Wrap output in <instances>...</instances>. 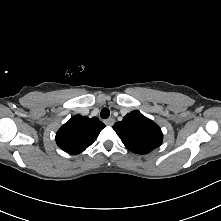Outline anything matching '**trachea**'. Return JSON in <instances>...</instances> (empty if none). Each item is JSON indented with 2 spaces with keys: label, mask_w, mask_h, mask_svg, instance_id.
<instances>
[{
  "label": "trachea",
  "mask_w": 221,
  "mask_h": 221,
  "mask_svg": "<svg viewBox=\"0 0 221 221\" xmlns=\"http://www.w3.org/2000/svg\"><path fill=\"white\" fill-rule=\"evenodd\" d=\"M101 118H108L110 116V111L107 108H103L100 113Z\"/></svg>",
  "instance_id": "3493384b"
}]
</instances>
